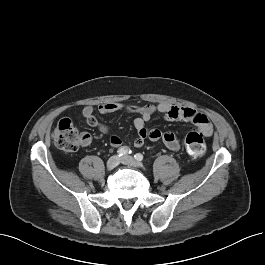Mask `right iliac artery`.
Masks as SVG:
<instances>
[{"instance_id":"1","label":"right iliac artery","mask_w":265,"mask_h":265,"mask_svg":"<svg viewBox=\"0 0 265 265\" xmlns=\"http://www.w3.org/2000/svg\"><path fill=\"white\" fill-rule=\"evenodd\" d=\"M117 153H118L119 156H125L127 154H130L131 150L128 149L127 147H121V148L118 149Z\"/></svg>"}]
</instances>
